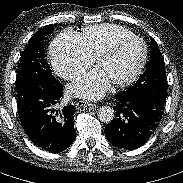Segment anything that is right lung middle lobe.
Instances as JSON below:
<instances>
[{
    "label": "right lung middle lobe",
    "instance_id": "right-lung-middle-lobe-1",
    "mask_svg": "<svg viewBox=\"0 0 183 183\" xmlns=\"http://www.w3.org/2000/svg\"><path fill=\"white\" fill-rule=\"evenodd\" d=\"M54 25H47L39 29L28 41L21 54L16 75V96H21L29 87H47L56 83L50 66L44 58V39L51 34Z\"/></svg>",
    "mask_w": 183,
    "mask_h": 183
}]
</instances>
